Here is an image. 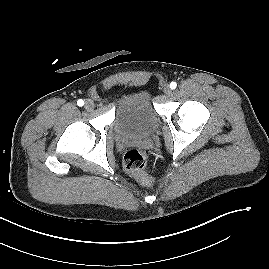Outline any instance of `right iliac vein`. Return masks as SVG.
<instances>
[{"mask_svg":"<svg viewBox=\"0 0 269 269\" xmlns=\"http://www.w3.org/2000/svg\"><path fill=\"white\" fill-rule=\"evenodd\" d=\"M94 107H95V104L92 100H86V102H85V109L86 110L91 111L94 109Z\"/></svg>","mask_w":269,"mask_h":269,"instance_id":"obj_1","label":"right iliac vein"}]
</instances>
